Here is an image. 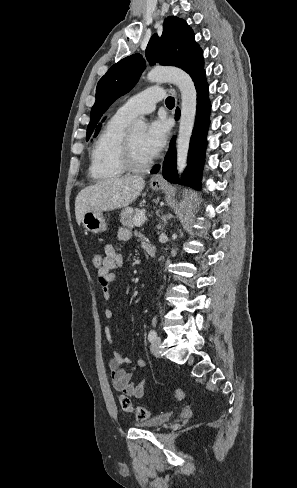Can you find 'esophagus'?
I'll list each match as a JSON object with an SVG mask.
<instances>
[{"instance_id":"34e87169","label":"esophagus","mask_w":297,"mask_h":488,"mask_svg":"<svg viewBox=\"0 0 297 488\" xmlns=\"http://www.w3.org/2000/svg\"><path fill=\"white\" fill-rule=\"evenodd\" d=\"M163 182V177H162V173L159 172L157 173L156 175H154L152 178H151V181L150 183L153 185V184H160Z\"/></svg>"}]
</instances>
